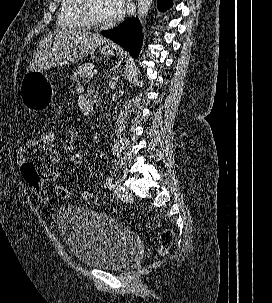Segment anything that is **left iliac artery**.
<instances>
[{
    "label": "left iliac artery",
    "instance_id": "obj_1",
    "mask_svg": "<svg viewBox=\"0 0 272 303\" xmlns=\"http://www.w3.org/2000/svg\"><path fill=\"white\" fill-rule=\"evenodd\" d=\"M106 184H107V186H108L109 189H112L114 187L113 180H112V178L110 176L106 177Z\"/></svg>",
    "mask_w": 272,
    "mask_h": 303
}]
</instances>
